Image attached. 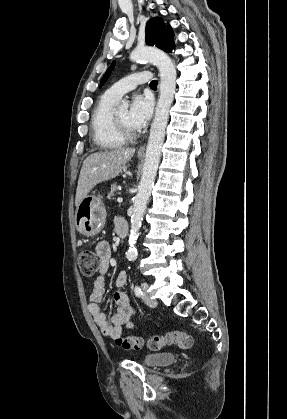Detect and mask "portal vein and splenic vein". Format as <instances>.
Here are the masks:
<instances>
[{
  "instance_id": "obj_1",
  "label": "portal vein and splenic vein",
  "mask_w": 287,
  "mask_h": 419,
  "mask_svg": "<svg viewBox=\"0 0 287 419\" xmlns=\"http://www.w3.org/2000/svg\"><path fill=\"white\" fill-rule=\"evenodd\" d=\"M117 201H118L119 203H121V202L123 201V199H122L121 197H118Z\"/></svg>"
}]
</instances>
